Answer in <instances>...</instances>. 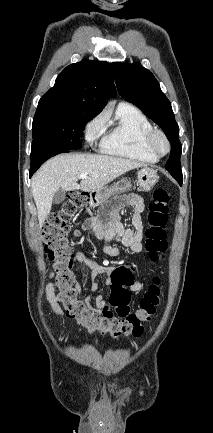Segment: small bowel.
<instances>
[{
	"mask_svg": "<svg viewBox=\"0 0 213 433\" xmlns=\"http://www.w3.org/2000/svg\"><path fill=\"white\" fill-rule=\"evenodd\" d=\"M128 208L132 211L130 219V227H126L120 220V209ZM144 211V202L140 195L132 194L124 199H119L114 202L112 207L104 211L98 218L87 219L82 226L74 231V238L78 239L83 232H89L97 241L101 242L102 250L108 257H118L122 250L113 245L115 239H119L123 248L131 253H140L143 250L142 237V213ZM74 262L82 264V268L78 270L81 275L85 270L90 271V293L85 298V304L91 309L98 312H112L110 301H106L102 293L93 297L99 288L98 279L101 276L105 277V284L112 285V273L116 269L109 260L102 263L87 256L84 252H74L72 254ZM130 267V266H128ZM134 273V268L130 267ZM56 275L54 269L48 272L49 278ZM53 282H48L45 287L46 299L49 302L54 313L61 315L63 310L59 304L58 297L55 293ZM75 288L77 291L82 289L80 281L76 282ZM143 289V283L139 280H134L130 286L132 292H139Z\"/></svg>",
	"mask_w": 213,
	"mask_h": 433,
	"instance_id": "obj_1",
	"label": "small bowel"
}]
</instances>
